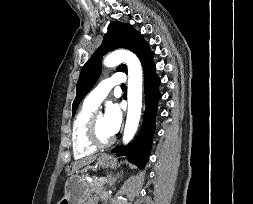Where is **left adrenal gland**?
I'll return each mask as SVG.
<instances>
[{
  "mask_svg": "<svg viewBox=\"0 0 253 204\" xmlns=\"http://www.w3.org/2000/svg\"><path fill=\"white\" fill-rule=\"evenodd\" d=\"M120 176H122V175L117 174V176H113L112 173H110V174L107 176V178H108L107 184H108L110 187H112V186L114 185V183L117 181V178H119Z\"/></svg>",
  "mask_w": 253,
  "mask_h": 204,
  "instance_id": "a2214340",
  "label": "left adrenal gland"
}]
</instances>
